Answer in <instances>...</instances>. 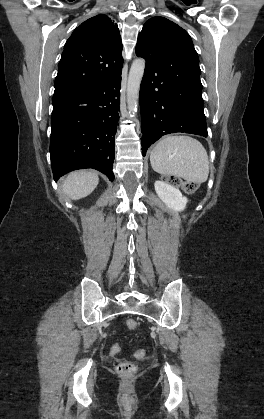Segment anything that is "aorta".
<instances>
[{
  "label": "aorta",
  "mask_w": 264,
  "mask_h": 419,
  "mask_svg": "<svg viewBox=\"0 0 264 419\" xmlns=\"http://www.w3.org/2000/svg\"><path fill=\"white\" fill-rule=\"evenodd\" d=\"M145 60L135 59L131 65L127 82V105L131 114L135 115L138 108V98L141 80L144 74Z\"/></svg>",
  "instance_id": "obj_1"
}]
</instances>
